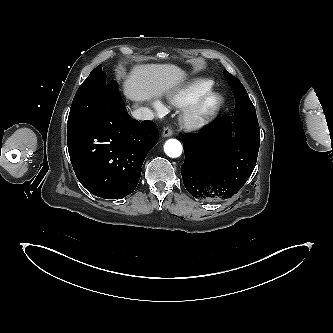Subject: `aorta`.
<instances>
[{
  "label": "aorta",
  "instance_id": "obj_1",
  "mask_svg": "<svg viewBox=\"0 0 333 333\" xmlns=\"http://www.w3.org/2000/svg\"><path fill=\"white\" fill-rule=\"evenodd\" d=\"M164 151L169 157L176 158L179 157L182 153V145L176 139H169L164 145Z\"/></svg>",
  "mask_w": 333,
  "mask_h": 333
}]
</instances>
